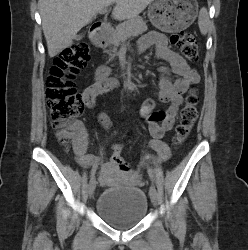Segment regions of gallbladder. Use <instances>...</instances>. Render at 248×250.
<instances>
[{
  "label": "gallbladder",
  "instance_id": "1",
  "mask_svg": "<svg viewBox=\"0 0 248 250\" xmlns=\"http://www.w3.org/2000/svg\"><path fill=\"white\" fill-rule=\"evenodd\" d=\"M81 38H82V35H76V37H75L76 40H79Z\"/></svg>",
  "mask_w": 248,
  "mask_h": 250
}]
</instances>
